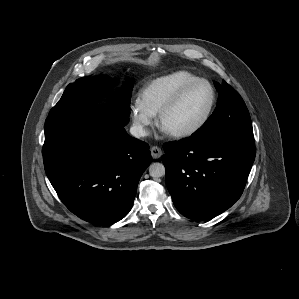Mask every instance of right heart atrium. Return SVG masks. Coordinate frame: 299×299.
Listing matches in <instances>:
<instances>
[{
	"label": "right heart atrium",
	"mask_w": 299,
	"mask_h": 299,
	"mask_svg": "<svg viewBox=\"0 0 299 299\" xmlns=\"http://www.w3.org/2000/svg\"><path fill=\"white\" fill-rule=\"evenodd\" d=\"M130 111L137 133L140 136H146L155 123L156 115L145 108L140 101L134 102Z\"/></svg>",
	"instance_id": "1"
}]
</instances>
